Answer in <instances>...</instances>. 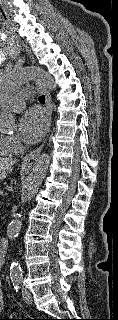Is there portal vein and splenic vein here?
Wrapping results in <instances>:
<instances>
[{"label": "portal vein and splenic vein", "mask_w": 118, "mask_h": 320, "mask_svg": "<svg viewBox=\"0 0 118 320\" xmlns=\"http://www.w3.org/2000/svg\"><path fill=\"white\" fill-rule=\"evenodd\" d=\"M3 195V191H0V196H2Z\"/></svg>", "instance_id": "portal-vein-and-splenic-vein-1"}]
</instances>
